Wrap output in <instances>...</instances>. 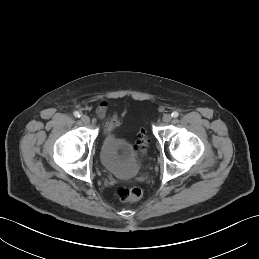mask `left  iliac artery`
<instances>
[{"label": "left iliac artery", "mask_w": 259, "mask_h": 259, "mask_svg": "<svg viewBox=\"0 0 259 259\" xmlns=\"http://www.w3.org/2000/svg\"><path fill=\"white\" fill-rule=\"evenodd\" d=\"M171 116H172L173 118H176V117L179 116V113H178L177 111H174V112H172Z\"/></svg>", "instance_id": "44dca946"}]
</instances>
